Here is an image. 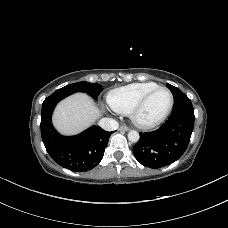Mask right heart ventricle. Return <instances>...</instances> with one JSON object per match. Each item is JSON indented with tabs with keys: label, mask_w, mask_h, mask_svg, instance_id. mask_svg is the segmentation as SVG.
I'll return each instance as SVG.
<instances>
[{
	"label": "right heart ventricle",
	"mask_w": 228,
	"mask_h": 228,
	"mask_svg": "<svg viewBox=\"0 0 228 228\" xmlns=\"http://www.w3.org/2000/svg\"><path fill=\"white\" fill-rule=\"evenodd\" d=\"M158 86L155 82H142L114 89L108 94V103L116 112L129 114L147 92Z\"/></svg>",
	"instance_id": "obj_1"
}]
</instances>
